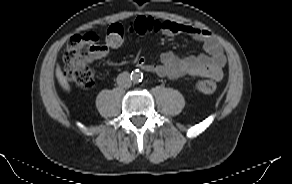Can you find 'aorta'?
<instances>
[{
	"label": "aorta",
	"instance_id": "762f6f07",
	"mask_svg": "<svg viewBox=\"0 0 292 184\" xmlns=\"http://www.w3.org/2000/svg\"><path fill=\"white\" fill-rule=\"evenodd\" d=\"M131 79L133 80V82H138L142 80V74L140 72H133L131 74Z\"/></svg>",
	"mask_w": 292,
	"mask_h": 184
}]
</instances>
